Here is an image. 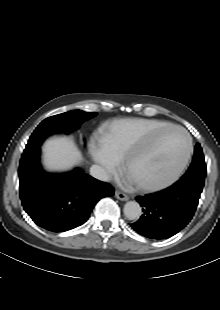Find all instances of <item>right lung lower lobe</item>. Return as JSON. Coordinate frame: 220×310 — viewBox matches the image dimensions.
Listing matches in <instances>:
<instances>
[{"label": "right lung lower lobe", "mask_w": 220, "mask_h": 310, "mask_svg": "<svg viewBox=\"0 0 220 310\" xmlns=\"http://www.w3.org/2000/svg\"><path fill=\"white\" fill-rule=\"evenodd\" d=\"M40 147L25 149L19 165V192L24 210L40 227L64 232L84 224L95 204L114 189L80 169L65 174L45 172Z\"/></svg>", "instance_id": "right-lung-lower-lobe-1"}]
</instances>
